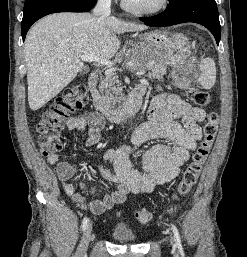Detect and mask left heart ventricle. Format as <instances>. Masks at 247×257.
Listing matches in <instances>:
<instances>
[{"label":"left heart ventricle","instance_id":"left-heart-ventricle-1","mask_svg":"<svg viewBox=\"0 0 247 257\" xmlns=\"http://www.w3.org/2000/svg\"><path fill=\"white\" fill-rule=\"evenodd\" d=\"M126 1L137 7H153L157 5L160 0H126Z\"/></svg>","mask_w":247,"mask_h":257}]
</instances>
